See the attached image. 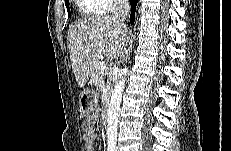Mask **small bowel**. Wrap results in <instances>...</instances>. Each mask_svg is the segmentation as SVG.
<instances>
[{"label": "small bowel", "mask_w": 231, "mask_h": 151, "mask_svg": "<svg viewBox=\"0 0 231 151\" xmlns=\"http://www.w3.org/2000/svg\"><path fill=\"white\" fill-rule=\"evenodd\" d=\"M84 142L86 151L94 150L95 135L93 130L92 118H87L83 124Z\"/></svg>", "instance_id": "1"}]
</instances>
